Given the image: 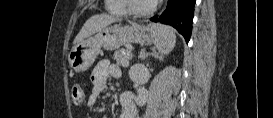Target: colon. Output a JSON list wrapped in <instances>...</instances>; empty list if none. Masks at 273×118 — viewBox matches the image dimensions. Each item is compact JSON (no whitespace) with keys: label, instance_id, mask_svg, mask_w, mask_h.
<instances>
[{"label":"colon","instance_id":"obj_1","mask_svg":"<svg viewBox=\"0 0 273 118\" xmlns=\"http://www.w3.org/2000/svg\"><path fill=\"white\" fill-rule=\"evenodd\" d=\"M84 91L80 84L75 83L71 88V99L73 104L80 106L84 102Z\"/></svg>","mask_w":273,"mask_h":118}]
</instances>
